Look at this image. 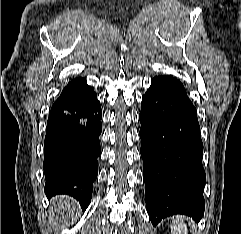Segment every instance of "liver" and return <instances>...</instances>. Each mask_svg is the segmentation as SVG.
<instances>
[{
    "instance_id": "obj_1",
    "label": "liver",
    "mask_w": 241,
    "mask_h": 234,
    "mask_svg": "<svg viewBox=\"0 0 241 234\" xmlns=\"http://www.w3.org/2000/svg\"><path fill=\"white\" fill-rule=\"evenodd\" d=\"M53 210L50 212L48 227L58 230L68 218H74L77 202L67 196H57L52 200Z\"/></svg>"
}]
</instances>
